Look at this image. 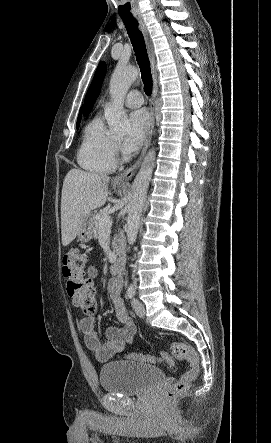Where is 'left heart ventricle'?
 <instances>
[{"label": "left heart ventricle", "mask_w": 271, "mask_h": 443, "mask_svg": "<svg viewBox=\"0 0 271 443\" xmlns=\"http://www.w3.org/2000/svg\"><path fill=\"white\" fill-rule=\"evenodd\" d=\"M116 138H117L118 141H121V140L123 139L122 136H120V137H116Z\"/></svg>", "instance_id": "left-heart-ventricle-1"}]
</instances>
